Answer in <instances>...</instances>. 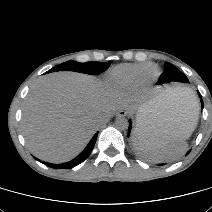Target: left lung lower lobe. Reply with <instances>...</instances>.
Listing matches in <instances>:
<instances>
[{
    "label": "left lung lower lobe",
    "instance_id": "0a47b994",
    "mask_svg": "<svg viewBox=\"0 0 212 212\" xmlns=\"http://www.w3.org/2000/svg\"><path fill=\"white\" fill-rule=\"evenodd\" d=\"M199 93V92H198ZM199 96H200V98H201V95H200V93H199ZM201 104H202V109H203V100H201ZM131 127H132V124H131V121L129 120V129H128V136L130 135V132H131ZM135 143V142H134ZM135 147H136V149L139 151V153L142 155V156H144L145 158H148V156H147V154L145 153V152H143L139 147H138V145L135 143ZM190 151H188V153H189ZM187 153V154H188ZM159 165H163V164H159Z\"/></svg>",
    "mask_w": 212,
    "mask_h": 212
}]
</instances>
